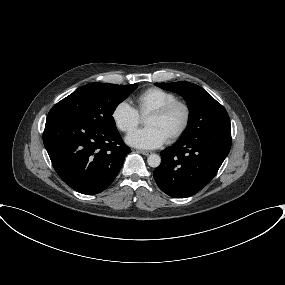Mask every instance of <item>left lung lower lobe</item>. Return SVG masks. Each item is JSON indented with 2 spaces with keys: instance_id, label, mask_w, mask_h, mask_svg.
<instances>
[{
  "instance_id": "left-lung-lower-lobe-1",
  "label": "left lung lower lobe",
  "mask_w": 285,
  "mask_h": 285,
  "mask_svg": "<svg viewBox=\"0 0 285 285\" xmlns=\"http://www.w3.org/2000/svg\"><path fill=\"white\" fill-rule=\"evenodd\" d=\"M230 148L231 134L227 133L180 139L161 152V164L154 171L155 181L169 196H192L213 179Z\"/></svg>"
}]
</instances>
